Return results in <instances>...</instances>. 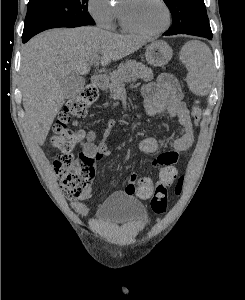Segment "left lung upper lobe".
I'll use <instances>...</instances> for the list:
<instances>
[{
    "mask_svg": "<svg viewBox=\"0 0 245 300\" xmlns=\"http://www.w3.org/2000/svg\"><path fill=\"white\" fill-rule=\"evenodd\" d=\"M172 14L168 35L179 33H212L204 0H163Z\"/></svg>",
    "mask_w": 245,
    "mask_h": 300,
    "instance_id": "5c2ea615",
    "label": "left lung upper lobe"
}]
</instances>
